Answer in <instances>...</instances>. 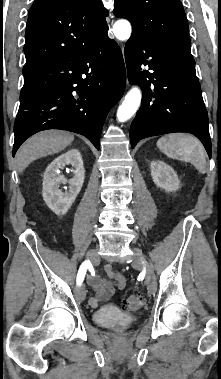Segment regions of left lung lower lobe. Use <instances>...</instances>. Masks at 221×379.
Returning <instances> with one entry per match:
<instances>
[{
	"label": "left lung lower lobe",
	"instance_id": "0a47b994",
	"mask_svg": "<svg viewBox=\"0 0 221 379\" xmlns=\"http://www.w3.org/2000/svg\"><path fill=\"white\" fill-rule=\"evenodd\" d=\"M125 60L130 83L139 84L143 92L130 127L131 147L146 137L188 132L200 139L211 157L208 114L194 59L166 51L132 33L125 46Z\"/></svg>",
	"mask_w": 221,
	"mask_h": 379
}]
</instances>
